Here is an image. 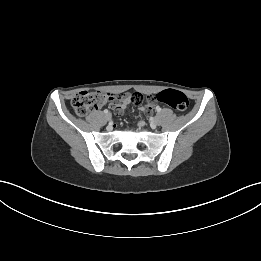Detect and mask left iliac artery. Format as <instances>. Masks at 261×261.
<instances>
[{"instance_id": "44dca946", "label": "left iliac artery", "mask_w": 261, "mask_h": 261, "mask_svg": "<svg viewBox=\"0 0 261 261\" xmlns=\"http://www.w3.org/2000/svg\"><path fill=\"white\" fill-rule=\"evenodd\" d=\"M156 111L157 112H160L161 111V108L159 106L156 107Z\"/></svg>"}]
</instances>
